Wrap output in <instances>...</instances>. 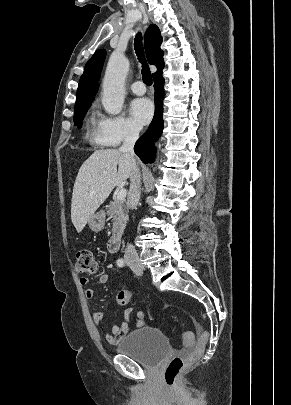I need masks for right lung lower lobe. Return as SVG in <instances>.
<instances>
[{
	"label": "right lung lower lobe",
	"mask_w": 291,
	"mask_h": 405,
	"mask_svg": "<svg viewBox=\"0 0 291 405\" xmlns=\"http://www.w3.org/2000/svg\"><path fill=\"white\" fill-rule=\"evenodd\" d=\"M153 80L155 84V114L149 128L134 146L135 153L144 163L153 161L154 155H151L150 147L153 142L159 139L163 131L162 100L164 98V78L162 77V73L153 76Z\"/></svg>",
	"instance_id": "obj_1"
}]
</instances>
